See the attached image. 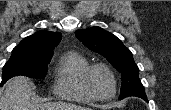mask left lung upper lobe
I'll use <instances>...</instances> for the list:
<instances>
[{"label":"left lung upper lobe","instance_id":"left-lung-upper-lobe-1","mask_svg":"<svg viewBox=\"0 0 171 110\" xmlns=\"http://www.w3.org/2000/svg\"><path fill=\"white\" fill-rule=\"evenodd\" d=\"M75 35L88 49L106 57L121 72L120 99L137 96L147 100L132 53L120 39L100 27L79 29L75 31Z\"/></svg>","mask_w":171,"mask_h":110}]
</instances>
